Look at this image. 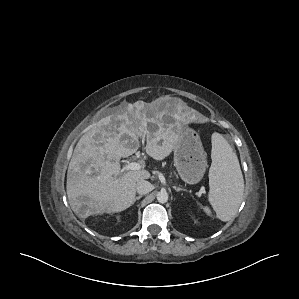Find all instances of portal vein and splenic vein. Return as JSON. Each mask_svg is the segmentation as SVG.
Here are the masks:
<instances>
[{"mask_svg":"<svg viewBox=\"0 0 299 299\" xmlns=\"http://www.w3.org/2000/svg\"><path fill=\"white\" fill-rule=\"evenodd\" d=\"M142 165L137 162H130L126 165H124L121 169V173L129 171V170H140Z\"/></svg>","mask_w":299,"mask_h":299,"instance_id":"1","label":"portal vein and splenic vein"}]
</instances>
